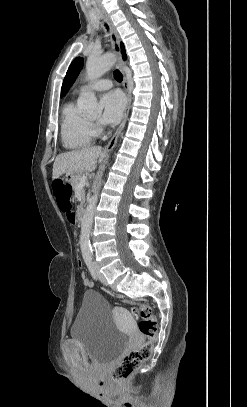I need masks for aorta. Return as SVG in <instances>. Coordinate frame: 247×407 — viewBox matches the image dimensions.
I'll list each match as a JSON object with an SVG mask.
<instances>
[{
	"instance_id": "1",
	"label": "aorta",
	"mask_w": 247,
	"mask_h": 407,
	"mask_svg": "<svg viewBox=\"0 0 247 407\" xmlns=\"http://www.w3.org/2000/svg\"><path fill=\"white\" fill-rule=\"evenodd\" d=\"M115 63V57L112 54H105L97 57L91 55L86 63V74L90 80L97 79L105 74ZM84 112L93 114L101 112L102 108L97 102L93 93L87 94L82 99ZM98 201V190L88 200L85 213L81 223L80 247L83 256H90L92 249L90 245V233L93 223L94 212Z\"/></svg>"
}]
</instances>
